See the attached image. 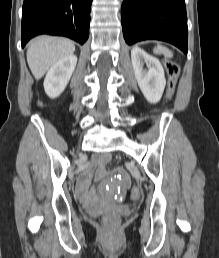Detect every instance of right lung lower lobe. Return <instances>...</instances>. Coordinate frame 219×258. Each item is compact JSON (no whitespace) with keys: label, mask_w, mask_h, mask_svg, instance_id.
Masks as SVG:
<instances>
[{"label":"right lung lower lobe","mask_w":219,"mask_h":258,"mask_svg":"<svg viewBox=\"0 0 219 258\" xmlns=\"http://www.w3.org/2000/svg\"><path fill=\"white\" fill-rule=\"evenodd\" d=\"M92 0H24L22 47L39 34L66 36L84 44L89 36Z\"/></svg>","instance_id":"98d812e1"}]
</instances>
